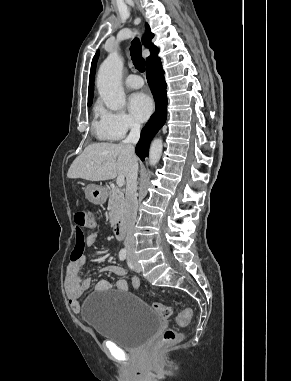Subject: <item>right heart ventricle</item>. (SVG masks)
Masks as SVG:
<instances>
[{"instance_id": "e07e8e85", "label": "right heart ventricle", "mask_w": 291, "mask_h": 381, "mask_svg": "<svg viewBox=\"0 0 291 381\" xmlns=\"http://www.w3.org/2000/svg\"><path fill=\"white\" fill-rule=\"evenodd\" d=\"M100 110L101 109L99 107H95L94 109V112L96 115L94 124H93L94 132L102 139L112 140V138L104 130L101 120L97 119L98 114H100Z\"/></svg>"}]
</instances>
